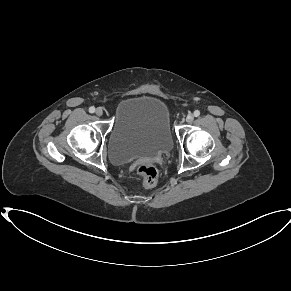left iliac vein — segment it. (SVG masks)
<instances>
[{"label":"left iliac vein","instance_id":"1","mask_svg":"<svg viewBox=\"0 0 291 291\" xmlns=\"http://www.w3.org/2000/svg\"><path fill=\"white\" fill-rule=\"evenodd\" d=\"M193 119H194V115L193 114H188L187 115V117H186V121L188 122V123H190V122H192L193 121Z\"/></svg>","mask_w":291,"mask_h":291}]
</instances>
